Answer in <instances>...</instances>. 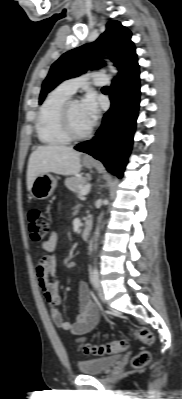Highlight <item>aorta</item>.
Returning a JSON list of instances; mask_svg holds the SVG:
<instances>
[{"label":"aorta","instance_id":"aorta-1","mask_svg":"<svg viewBox=\"0 0 182 399\" xmlns=\"http://www.w3.org/2000/svg\"><path fill=\"white\" fill-rule=\"evenodd\" d=\"M105 61H106V63H107V67H108L109 71H110L113 75H117V72H118V71H117L116 67L113 65V63H112L109 59H107V58H105ZM105 202H106V200H104V203H105ZM102 216H103V214L101 213V215H100L99 218H98V226H97L96 231H95V234H94V238H95V241H96V242H97L98 237H99V231H100L99 224H100V222H101V220H102ZM94 249H95V250L97 249V243H95Z\"/></svg>","mask_w":182,"mask_h":399}]
</instances>
